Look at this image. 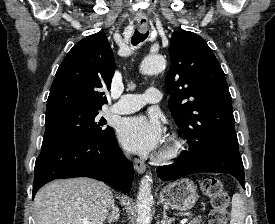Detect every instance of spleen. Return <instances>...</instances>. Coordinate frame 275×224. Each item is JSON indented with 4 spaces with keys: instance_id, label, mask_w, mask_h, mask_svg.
<instances>
[{
    "instance_id": "3e777b00",
    "label": "spleen",
    "mask_w": 275,
    "mask_h": 224,
    "mask_svg": "<svg viewBox=\"0 0 275 224\" xmlns=\"http://www.w3.org/2000/svg\"><path fill=\"white\" fill-rule=\"evenodd\" d=\"M245 206L244 201L239 193H235L232 197V210L230 224H244Z\"/></svg>"
}]
</instances>
